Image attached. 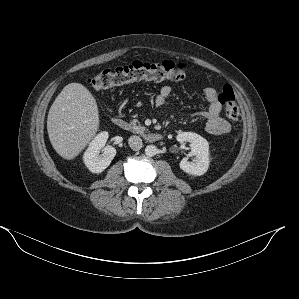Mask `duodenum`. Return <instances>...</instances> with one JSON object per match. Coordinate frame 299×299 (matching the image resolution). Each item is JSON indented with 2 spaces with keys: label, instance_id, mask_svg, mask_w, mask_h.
<instances>
[{
  "label": "duodenum",
  "instance_id": "410a0bca",
  "mask_svg": "<svg viewBox=\"0 0 299 299\" xmlns=\"http://www.w3.org/2000/svg\"><path fill=\"white\" fill-rule=\"evenodd\" d=\"M111 122L117 128L127 127V123L120 117H113ZM145 139L149 142H158L163 139V135L160 133H149L145 135Z\"/></svg>",
  "mask_w": 299,
  "mask_h": 299
}]
</instances>
